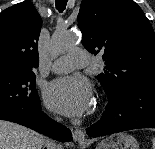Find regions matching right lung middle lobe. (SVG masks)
<instances>
[{
	"mask_svg": "<svg viewBox=\"0 0 155 149\" xmlns=\"http://www.w3.org/2000/svg\"><path fill=\"white\" fill-rule=\"evenodd\" d=\"M40 105L35 73L0 69V113L27 117Z\"/></svg>",
	"mask_w": 155,
	"mask_h": 149,
	"instance_id": "dd1d6c3e",
	"label": "right lung middle lobe"
}]
</instances>
